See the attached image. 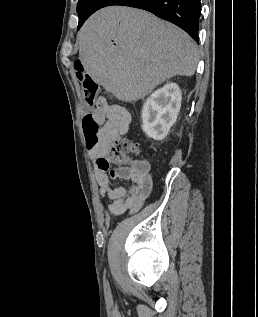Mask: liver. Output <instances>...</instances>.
Segmentation results:
<instances>
[{"label": "liver", "instance_id": "liver-1", "mask_svg": "<svg viewBox=\"0 0 258 317\" xmlns=\"http://www.w3.org/2000/svg\"><path fill=\"white\" fill-rule=\"evenodd\" d=\"M78 38L87 74L127 102L175 74L192 76L199 60L196 42L182 28L130 6L97 10Z\"/></svg>", "mask_w": 258, "mask_h": 317}]
</instances>
